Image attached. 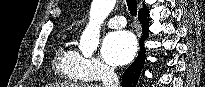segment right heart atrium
I'll list each match as a JSON object with an SVG mask.
<instances>
[{
    "instance_id": "right-heart-atrium-1",
    "label": "right heart atrium",
    "mask_w": 205,
    "mask_h": 87,
    "mask_svg": "<svg viewBox=\"0 0 205 87\" xmlns=\"http://www.w3.org/2000/svg\"><path fill=\"white\" fill-rule=\"evenodd\" d=\"M79 70L89 80H96L113 72L109 66L98 58L84 56H81Z\"/></svg>"
}]
</instances>
